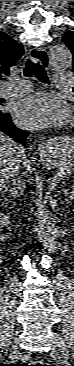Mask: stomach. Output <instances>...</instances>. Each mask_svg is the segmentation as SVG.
<instances>
[{"label":"stomach","instance_id":"obj_1","mask_svg":"<svg viewBox=\"0 0 74 366\" xmlns=\"http://www.w3.org/2000/svg\"><path fill=\"white\" fill-rule=\"evenodd\" d=\"M54 146V149H57V148H63V147H72V144L70 141H67V140H59L57 141L56 143L53 144Z\"/></svg>","mask_w":74,"mask_h":366}]
</instances>
